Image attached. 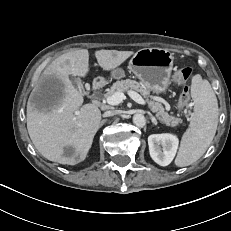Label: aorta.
<instances>
[{"instance_id":"1","label":"aorta","mask_w":231,"mask_h":231,"mask_svg":"<svg viewBox=\"0 0 231 231\" xmlns=\"http://www.w3.org/2000/svg\"><path fill=\"white\" fill-rule=\"evenodd\" d=\"M133 123L137 126V127H144L146 125V118L143 114L141 113H136L133 118Z\"/></svg>"}]
</instances>
